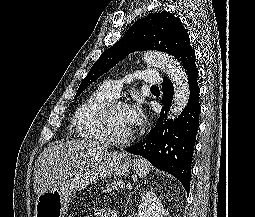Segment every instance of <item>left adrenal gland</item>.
<instances>
[{"mask_svg": "<svg viewBox=\"0 0 255 217\" xmlns=\"http://www.w3.org/2000/svg\"><path fill=\"white\" fill-rule=\"evenodd\" d=\"M144 184H146V183H144ZM138 187H140V184L135 188V191L138 189Z\"/></svg>", "mask_w": 255, "mask_h": 217, "instance_id": "a2214340", "label": "left adrenal gland"}]
</instances>
